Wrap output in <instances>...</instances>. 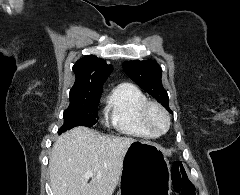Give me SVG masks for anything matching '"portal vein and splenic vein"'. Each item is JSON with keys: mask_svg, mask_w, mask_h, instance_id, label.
I'll return each instance as SVG.
<instances>
[{"mask_svg": "<svg viewBox=\"0 0 240 195\" xmlns=\"http://www.w3.org/2000/svg\"><path fill=\"white\" fill-rule=\"evenodd\" d=\"M83 177H93L92 171H86V173H84Z\"/></svg>", "mask_w": 240, "mask_h": 195, "instance_id": "18ae733b", "label": "portal vein and splenic vein"}]
</instances>
